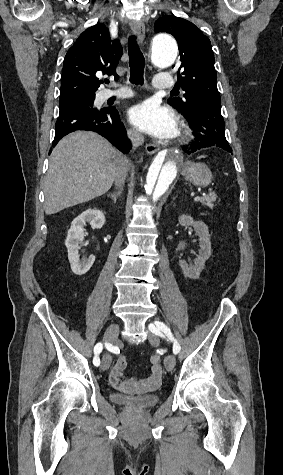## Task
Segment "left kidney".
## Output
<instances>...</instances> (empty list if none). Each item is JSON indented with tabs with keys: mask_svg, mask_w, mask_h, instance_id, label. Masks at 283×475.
Segmentation results:
<instances>
[{
	"mask_svg": "<svg viewBox=\"0 0 283 475\" xmlns=\"http://www.w3.org/2000/svg\"><path fill=\"white\" fill-rule=\"evenodd\" d=\"M178 220L181 226H193L196 236H199V255L195 257L194 263H187L184 259H179V265L182 267L184 275L191 277V279H197V277H200L202 269H204L206 259H208L212 253L208 226H206L204 222H194L191 216H185V214L179 216Z\"/></svg>",
	"mask_w": 283,
	"mask_h": 475,
	"instance_id": "5707ae66",
	"label": "left kidney"
}]
</instances>
